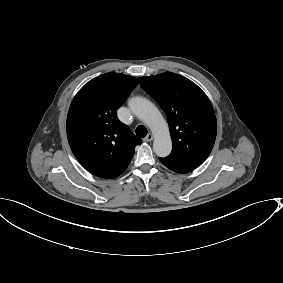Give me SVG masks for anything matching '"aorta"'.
Listing matches in <instances>:
<instances>
[{
	"label": "aorta",
	"mask_w": 283,
	"mask_h": 283,
	"mask_svg": "<svg viewBox=\"0 0 283 283\" xmlns=\"http://www.w3.org/2000/svg\"><path fill=\"white\" fill-rule=\"evenodd\" d=\"M129 108L152 131L155 154L159 157L168 156L172 150L170 132L166 120L156 106L146 98L134 97L129 101Z\"/></svg>",
	"instance_id": "762f6f07"
}]
</instances>
